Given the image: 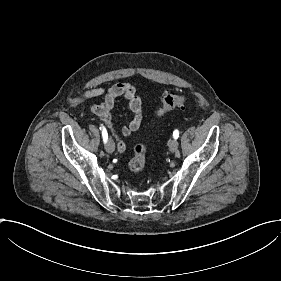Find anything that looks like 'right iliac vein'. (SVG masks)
I'll use <instances>...</instances> for the list:
<instances>
[{"mask_svg":"<svg viewBox=\"0 0 281 281\" xmlns=\"http://www.w3.org/2000/svg\"><path fill=\"white\" fill-rule=\"evenodd\" d=\"M105 148L108 154H112L115 151L114 139H109V142H105Z\"/></svg>","mask_w":281,"mask_h":281,"instance_id":"right-iliac-vein-1","label":"right iliac vein"}]
</instances>
